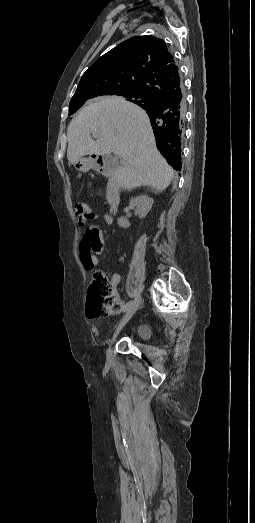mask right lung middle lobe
Wrapping results in <instances>:
<instances>
[{"instance_id":"right-lung-middle-lobe-1","label":"right lung middle lobe","mask_w":255,"mask_h":523,"mask_svg":"<svg viewBox=\"0 0 255 523\" xmlns=\"http://www.w3.org/2000/svg\"><path fill=\"white\" fill-rule=\"evenodd\" d=\"M117 96H121L126 98L128 101H131L133 103L138 101H144L148 98V95L145 92L141 91H129L122 94H119ZM82 105H76V106H69V115L74 114Z\"/></svg>"}]
</instances>
